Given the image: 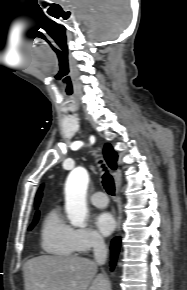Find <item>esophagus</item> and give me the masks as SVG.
Here are the masks:
<instances>
[{"label": "esophagus", "mask_w": 187, "mask_h": 290, "mask_svg": "<svg viewBox=\"0 0 187 290\" xmlns=\"http://www.w3.org/2000/svg\"><path fill=\"white\" fill-rule=\"evenodd\" d=\"M120 230V217L117 218V232Z\"/></svg>", "instance_id": "34e87169"}]
</instances>
